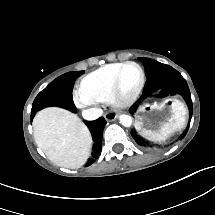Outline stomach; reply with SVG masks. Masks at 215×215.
<instances>
[{"mask_svg": "<svg viewBox=\"0 0 215 215\" xmlns=\"http://www.w3.org/2000/svg\"><path fill=\"white\" fill-rule=\"evenodd\" d=\"M186 123V110L177 99L166 98L160 102L141 106L134 127L143 137L151 141H164Z\"/></svg>", "mask_w": 215, "mask_h": 215, "instance_id": "obj_1", "label": "stomach"}]
</instances>
